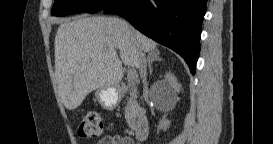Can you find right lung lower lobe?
Masks as SVG:
<instances>
[{
  "mask_svg": "<svg viewBox=\"0 0 273 144\" xmlns=\"http://www.w3.org/2000/svg\"><path fill=\"white\" fill-rule=\"evenodd\" d=\"M206 1L111 0L103 10L124 17L146 36L176 51L195 74Z\"/></svg>",
  "mask_w": 273,
  "mask_h": 144,
  "instance_id": "98d812e1",
  "label": "right lung lower lobe"
}]
</instances>
